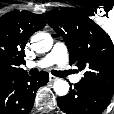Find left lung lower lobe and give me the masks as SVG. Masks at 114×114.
<instances>
[{
  "instance_id": "left-lung-lower-lobe-1",
  "label": "left lung lower lobe",
  "mask_w": 114,
  "mask_h": 114,
  "mask_svg": "<svg viewBox=\"0 0 114 114\" xmlns=\"http://www.w3.org/2000/svg\"><path fill=\"white\" fill-rule=\"evenodd\" d=\"M113 94L112 88L80 81L66 96L58 98L57 104L66 114H101Z\"/></svg>"
}]
</instances>
